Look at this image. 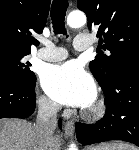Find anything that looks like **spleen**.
<instances>
[{
  "mask_svg": "<svg viewBox=\"0 0 139 150\" xmlns=\"http://www.w3.org/2000/svg\"><path fill=\"white\" fill-rule=\"evenodd\" d=\"M111 146L113 150H135L134 147L122 142L113 143Z\"/></svg>",
  "mask_w": 139,
  "mask_h": 150,
  "instance_id": "obj_1",
  "label": "spleen"
}]
</instances>
